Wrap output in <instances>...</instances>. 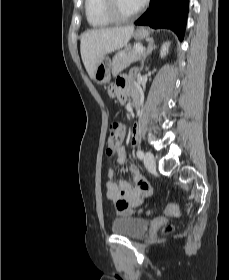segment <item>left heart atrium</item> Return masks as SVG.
<instances>
[{
    "instance_id": "1",
    "label": "left heart atrium",
    "mask_w": 229,
    "mask_h": 280,
    "mask_svg": "<svg viewBox=\"0 0 229 280\" xmlns=\"http://www.w3.org/2000/svg\"><path fill=\"white\" fill-rule=\"evenodd\" d=\"M134 1L136 2L138 8L142 7L147 2V0H134Z\"/></svg>"
}]
</instances>
